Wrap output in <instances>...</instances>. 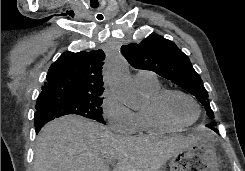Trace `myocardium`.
<instances>
[{"label":"myocardium","mask_w":245,"mask_h":171,"mask_svg":"<svg viewBox=\"0 0 245 171\" xmlns=\"http://www.w3.org/2000/svg\"><path fill=\"white\" fill-rule=\"evenodd\" d=\"M173 95H182V96L186 97L187 99H189L194 104V106L197 109V115H196L194 120H192L191 122H188V123H181V122H178L177 120H175L171 116V114L168 110V102H169V99L171 98V96H173ZM155 111H156L157 116L164 123H166L169 126L175 127V128L190 127L193 124H195L201 116V107H200L198 101L192 95H190V94H188L182 90H179V89L163 90L159 94V96L157 97V99L155 101Z\"/></svg>","instance_id":"obj_1"}]
</instances>
